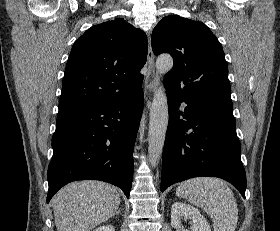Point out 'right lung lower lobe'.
Returning <instances> with one entry per match:
<instances>
[{"label": "right lung lower lobe", "instance_id": "98d812e1", "mask_svg": "<svg viewBox=\"0 0 280 231\" xmlns=\"http://www.w3.org/2000/svg\"><path fill=\"white\" fill-rule=\"evenodd\" d=\"M143 105L141 89L130 97L57 117L47 203L65 184L85 179L118 186L129 198Z\"/></svg>", "mask_w": 280, "mask_h": 231}]
</instances>
